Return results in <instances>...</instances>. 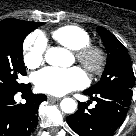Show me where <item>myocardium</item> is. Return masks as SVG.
Instances as JSON below:
<instances>
[{
  "instance_id": "obj_1",
  "label": "myocardium",
  "mask_w": 136,
  "mask_h": 136,
  "mask_svg": "<svg viewBox=\"0 0 136 136\" xmlns=\"http://www.w3.org/2000/svg\"><path fill=\"white\" fill-rule=\"evenodd\" d=\"M74 53L77 61L91 76L103 71L107 57L102 48L89 44L75 50Z\"/></svg>"
}]
</instances>
